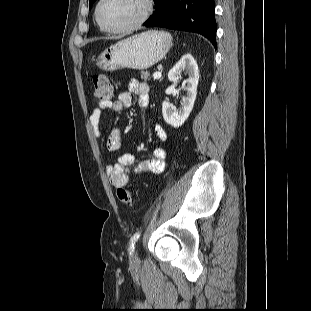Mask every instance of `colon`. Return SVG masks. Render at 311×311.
<instances>
[{"label":"colon","mask_w":311,"mask_h":311,"mask_svg":"<svg viewBox=\"0 0 311 311\" xmlns=\"http://www.w3.org/2000/svg\"><path fill=\"white\" fill-rule=\"evenodd\" d=\"M112 93H113V89L111 86V83L108 79V77L103 74V73H99L96 74L93 77V96L94 99L101 103V102H106V101H110L111 97H112ZM117 198L118 200L126 205V206H132L133 204V197L130 191L119 187L117 189Z\"/></svg>","instance_id":"colon-1"}]
</instances>
